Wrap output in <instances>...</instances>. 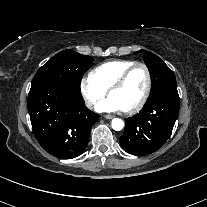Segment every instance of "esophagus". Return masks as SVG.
<instances>
[{
	"label": "esophagus",
	"instance_id": "obj_1",
	"mask_svg": "<svg viewBox=\"0 0 207 207\" xmlns=\"http://www.w3.org/2000/svg\"><path fill=\"white\" fill-rule=\"evenodd\" d=\"M103 117H104L105 119H112V118H113L112 115H104Z\"/></svg>",
	"mask_w": 207,
	"mask_h": 207
}]
</instances>
